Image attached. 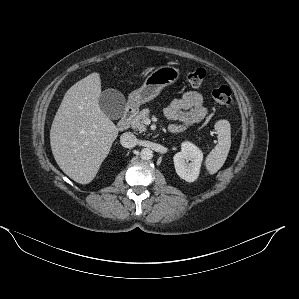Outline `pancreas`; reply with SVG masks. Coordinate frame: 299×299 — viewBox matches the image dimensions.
Returning <instances> with one entry per match:
<instances>
[{
    "label": "pancreas",
    "mask_w": 299,
    "mask_h": 299,
    "mask_svg": "<svg viewBox=\"0 0 299 299\" xmlns=\"http://www.w3.org/2000/svg\"><path fill=\"white\" fill-rule=\"evenodd\" d=\"M149 109H143L140 111L132 120H131V127L135 130H138L139 132H145L146 131V125L144 121L149 116Z\"/></svg>",
    "instance_id": "cf45deb5"
}]
</instances>
